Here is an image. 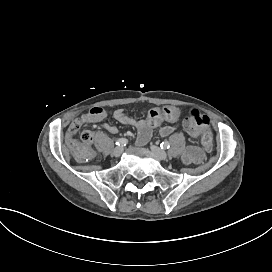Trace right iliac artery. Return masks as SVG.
<instances>
[{
  "label": "right iliac artery",
  "mask_w": 272,
  "mask_h": 272,
  "mask_svg": "<svg viewBox=\"0 0 272 272\" xmlns=\"http://www.w3.org/2000/svg\"><path fill=\"white\" fill-rule=\"evenodd\" d=\"M128 143V140L125 138H120L116 141V145L118 146H126V144Z\"/></svg>",
  "instance_id": "82829eb1"
}]
</instances>
